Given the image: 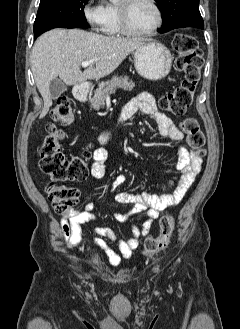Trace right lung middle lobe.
<instances>
[{
  "label": "right lung middle lobe",
  "instance_id": "obj_1",
  "mask_svg": "<svg viewBox=\"0 0 240 329\" xmlns=\"http://www.w3.org/2000/svg\"><path fill=\"white\" fill-rule=\"evenodd\" d=\"M88 0H40L34 22L36 38L52 28H88L84 7Z\"/></svg>",
  "mask_w": 240,
  "mask_h": 329
}]
</instances>
